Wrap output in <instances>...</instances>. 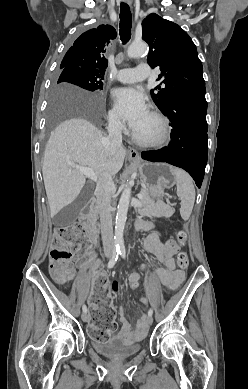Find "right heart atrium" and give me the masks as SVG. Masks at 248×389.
Here are the masks:
<instances>
[{
  "mask_svg": "<svg viewBox=\"0 0 248 389\" xmlns=\"http://www.w3.org/2000/svg\"><path fill=\"white\" fill-rule=\"evenodd\" d=\"M108 122L109 126L115 130L122 129V120L118 113V111L115 108H111L108 113Z\"/></svg>",
  "mask_w": 248,
  "mask_h": 389,
  "instance_id": "d8ad5b80",
  "label": "right heart atrium"
}]
</instances>
